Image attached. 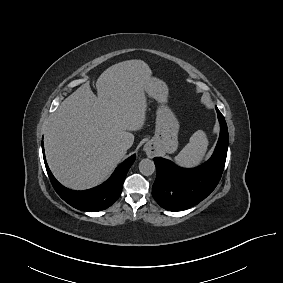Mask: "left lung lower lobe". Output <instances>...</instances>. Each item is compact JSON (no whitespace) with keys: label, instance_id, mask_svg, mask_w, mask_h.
<instances>
[{"label":"left lung lower lobe","instance_id":"1","mask_svg":"<svg viewBox=\"0 0 283 283\" xmlns=\"http://www.w3.org/2000/svg\"><path fill=\"white\" fill-rule=\"evenodd\" d=\"M220 122V136L211 158L203 165L185 169L164 158L155 157L157 177L152 187L156 202L166 210L182 211L191 208L217 186L224 170L227 149L228 129L223 115L216 107Z\"/></svg>","mask_w":283,"mask_h":283}]
</instances>
